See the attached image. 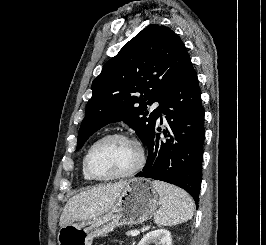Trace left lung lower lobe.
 I'll list each match as a JSON object with an SVG mask.
<instances>
[{
  "mask_svg": "<svg viewBox=\"0 0 266 245\" xmlns=\"http://www.w3.org/2000/svg\"><path fill=\"white\" fill-rule=\"evenodd\" d=\"M151 133L147 162L136 176L162 180L186 190L198 204L202 181L204 109L197 73L187 59L159 106ZM166 115L170 139L161 140L160 113ZM160 123L162 124V118Z\"/></svg>",
  "mask_w": 266,
  "mask_h": 245,
  "instance_id": "left-lung-lower-lobe-1",
  "label": "left lung lower lobe"
}]
</instances>
